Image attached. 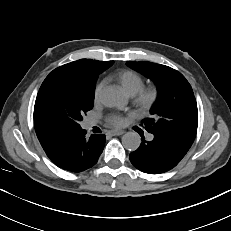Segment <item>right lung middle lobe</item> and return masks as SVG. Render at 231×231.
<instances>
[{"instance_id":"dd1d6c3e","label":"right lung middle lobe","mask_w":231,"mask_h":231,"mask_svg":"<svg viewBox=\"0 0 231 231\" xmlns=\"http://www.w3.org/2000/svg\"><path fill=\"white\" fill-rule=\"evenodd\" d=\"M93 101L94 91L84 93L65 87H52L37 95L34 116L48 123L56 132L78 130L82 116L92 109Z\"/></svg>"}]
</instances>
